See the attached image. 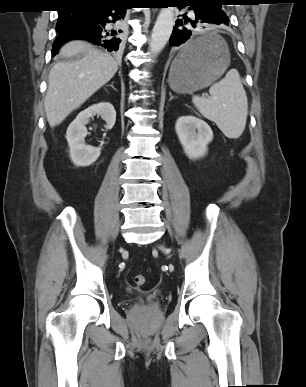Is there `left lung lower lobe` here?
Here are the masks:
<instances>
[{"mask_svg":"<svg viewBox=\"0 0 306 387\" xmlns=\"http://www.w3.org/2000/svg\"><path fill=\"white\" fill-rule=\"evenodd\" d=\"M189 6L193 19L184 16L182 19H177L172 35L170 37V44L172 46L182 45V61L188 62L193 58L203 55L209 46L207 43L192 44L189 41L192 31L186 27V24H191L194 28L199 23L216 24L224 27L229 24L228 18L223 17L218 5L212 2H196L193 0H183L180 2V9Z\"/></svg>","mask_w":306,"mask_h":387,"instance_id":"left-lung-lower-lobe-1","label":"left lung lower lobe"}]
</instances>
